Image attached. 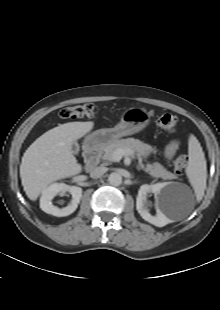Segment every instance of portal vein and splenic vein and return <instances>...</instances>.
<instances>
[{
  "mask_svg": "<svg viewBox=\"0 0 220 310\" xmlns=\"http://www.w3.org/2000/svg\"><path fill=\"white\" fill-rule=\"evenodd\" d=\"M123 156H134V152L130 149H117L114 152V159L115 161H120Z\"/></svg>",
  "mask_w": 220,
  "mask_h": 310,
  "instance_id": "18ae733b",
  "label": "portal vein and splenic vein"
}]
</instances>
